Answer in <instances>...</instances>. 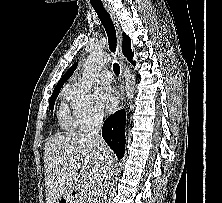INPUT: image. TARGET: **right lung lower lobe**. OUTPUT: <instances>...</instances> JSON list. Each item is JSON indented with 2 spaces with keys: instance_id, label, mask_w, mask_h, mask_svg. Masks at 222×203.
Returning a JSON list of instances; mask_svg holds the SVG:
<instances>
[{
  "instance_id": "right-lung-lower-lobe-1",
  "label": "right lung lower lobe",
  "mask_w": 222,
  "mask_h": 203,
  "mask_svg": "<svg viewBox=\"0 0 222 203\" xmlns=\"http://www.w3.org/2000/svg\"><path fill=\"white\" fill-rule=\"evenodd\" d=\"M125 121V110L121 109L110 116L102 127V136L118 159L123 158L125 152Z\"/></svg>"
}]
</instances>
